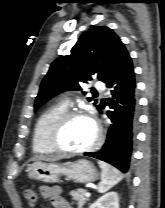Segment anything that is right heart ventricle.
Returning <instances> with one entry per match:
<instances>
[{"label": "right heart ventricle", "instance_id": "obj_1", "mask_svg": "<svg viewBox=\"0 0 165 208\" xmlns=\"http://www.w3.org/2000/svg\"><path fill=\"white\" fill-rule=\"evenodd\" d=\"M68 110V105L58 103L47 108L37 119L32 135V149L36 154H52L56 151L48 142V133L54 122Z\"/></svg>", "mask_w": 165, "mask_h": 208}]
</instances>
